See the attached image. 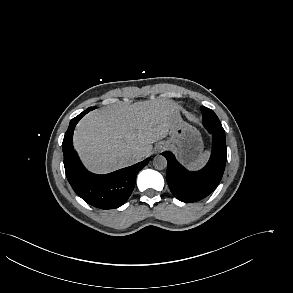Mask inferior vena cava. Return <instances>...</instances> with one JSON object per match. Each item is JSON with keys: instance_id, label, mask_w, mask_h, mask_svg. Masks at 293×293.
Returning a JSON list of instances; mask_svg holds the SVG:
<instances>
[{"instance_id": "1", "label": "inferior vena cava", "mask_w": 293, "mask_h": 293, "mask_svg": "<svg viewBox=\"0 0 293 293\" xmlns=\"http://www.w3.org/2000/svg\"><path fill=\"white\" fill-rule=\"evenodd\" d=\"M134 159H135V161H140V159H141V154H135V155H134Z\"/></svg>"}]
</instances>
